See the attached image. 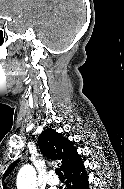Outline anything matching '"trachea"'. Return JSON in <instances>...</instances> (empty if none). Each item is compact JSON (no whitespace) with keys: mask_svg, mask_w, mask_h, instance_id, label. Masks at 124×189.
<instances>
[{"mask_svg":"<svg viewBox=\"0 0 124 189\" xmlns=\"http://www.w3.org/2000/svg\"><path fill=\"white\" fill-rule=\"evenodd\" d=\"M55 173H56L59 177H64V175H63V173H62V171H61L60 168H56V169H55Z\"/></svg>","mask_w":124,"mask_h":189,"instance_id":"trachea-1","label":"trachea"}]
</instances>
